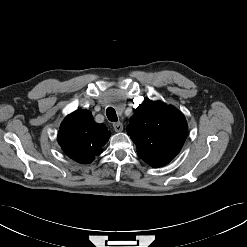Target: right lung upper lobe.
<instances>
[{
    "mask_svg": "<svg viewBox=\"0 0 247 247\" xmlns=\"http://www.w3.org/2000/svg\"><path fill=\"white\" fill-rule=\"evenodd\" d=\"M110 132L104 124L93 120L90 111L80 109L68 115L61 123L58 142L71 159L79 163H90L102 153Z\"/></svg>",
    "mask_w": 247,
    "mask_h": 247,
    "instance_id": "1",
    "label": "right lung upper lobe"
}]
</instances>
